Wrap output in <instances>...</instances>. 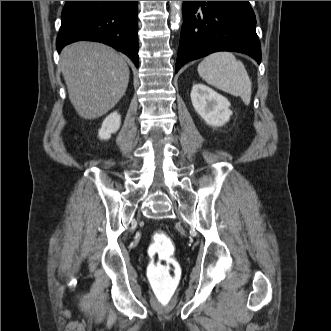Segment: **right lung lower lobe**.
Here are the masks:
<instances>
[{
  "instance_id": "1",
  "label": "right lung lower lobe",
  "mask_w": 331,
  "mask_h": 331,
  "mask_svg": "<svg viewBox=\"0 0 331 331\" xmlns=\"http://www.w3.org/2000/svg\"><path fill=\"white\" fill-rule=\"evenodd\" d=\"M137 9V1H66L58 53L75 41H97L123 52L138 67Z\"/></svg>"
}]
</instances>
